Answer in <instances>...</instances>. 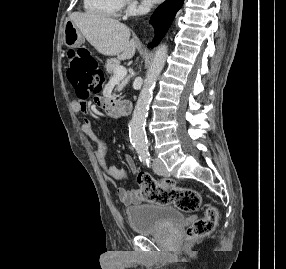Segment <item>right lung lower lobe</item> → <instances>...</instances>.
I'll return each mask as SVG.
<instances>
[{
	"label": "right lung lower lobe",
	"instance_id": "right-lung-lower-lobe-1",
	"mask_svg": "<svg viewBox=\"0 0 286 269\" xmlns=\"http://www.w3.org/2000/svg\"><path fill=\"white\" fill-rule=\"evenodd\" d=\"M183 1L184 0H167L156 9L150 20V23L155 29V37L149 44V47L153 48L163 38L175 14L181 8Z\"/></svg>",
	"mask_w": 286,
	"mask_h": 269
}]
</instances>
